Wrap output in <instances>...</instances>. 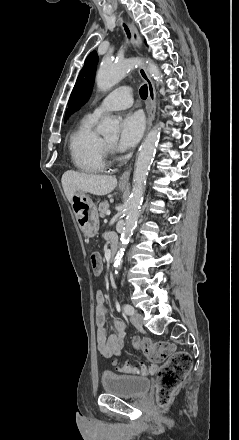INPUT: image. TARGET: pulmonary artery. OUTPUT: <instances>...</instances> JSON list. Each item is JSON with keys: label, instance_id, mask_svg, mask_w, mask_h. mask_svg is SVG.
I'll return each instance as SVG.
<instances>
[{"label": "pulmonary artery", "instance_id": "e3ab8cb5", "mask_svg": "<svg viewBox=\"0 0 239 440\" xmlns=\"http://www.w3.org/2000/svg\"><path fill=\"white\" fill-rule=\"evenodd\" d=\"M132 103V89L129 87H120L110 92L102 102L93 109L89 116L98 118L107 111L128 108Z\"/></svg>", "mask_w": 239, "mask_h": 440}]
</instances>
